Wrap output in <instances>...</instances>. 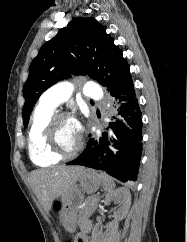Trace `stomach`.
<instances>
[{
  "instance_id": "obj_1",
  "label": "stomach",
  "mask_w": 187,
  "mask_h": 242,
  "mask_svg": "<svg viewBox=\"0 0 187 242\" xmlns=\"http://www.w3.org/2000/svg\"><path fill=\"white\" fill-rule=\"evenodd\" d=\"M102 185L100 174L83 168L75 185L61 197L60 223L67 232H74L80 218L83 193L92 194Z\"/></svg>"
}]
</instances>
